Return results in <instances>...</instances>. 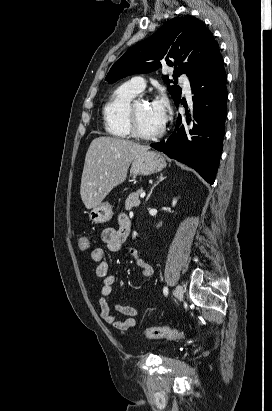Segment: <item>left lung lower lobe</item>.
<instances>
[{"label": "left lung lower lobe", "mask_w": 272, "mask_h": 411, "mask_svg": "<svg viewBox=\"0 0 272 411\" xmlns=\"http://www.w3.org/2000/svg\"><path fill=\"white\" fill-rule=\"evenodd\" d=\"M226 72L219 49L190 81L193 108L179 114L172 135L150 146L194 168L213 184L220 162L227 115ZM182 103L181 98L175 105ZM185 106V105H184Z\"/></svg>", "instance_id": "0a47b994"}]
</instances>
